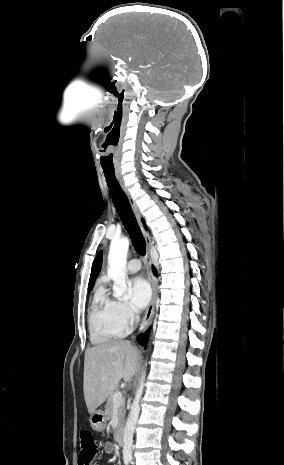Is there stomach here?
Returning a JSON list of instances; mask_svg holds the SVG:
<instances>
[{"label":"stomach","instance_id":"stomach-1","mask_svg":"<svg viewBox=\"0 0 284 465\" xmlns=\"http://www.w3.org/2000/svg\"><path fill=\"white\" fill-rule=\"evenodd\" d=\"M89 423L93 429V431H98V433H103L106 429V415L104 411H95V413H91L89 417Z\"/></svg>","mask_w":284,"mask_h":465}]
</instances>
